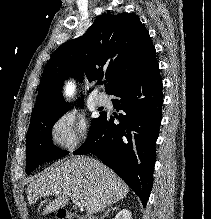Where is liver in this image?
I'll return each mask as SVG.
<instances>
[{"label": "liver", "mask_w": 211, "mask_h": 219, "mask_svg": "<svg viewBox=\"0 0 211 219\" xmlns=\"http://www.w3.org/2000/svg\"><path fill=\"white\" fill-rule=\"evenodd\" d=\"M128 185L100 161L88 157H74L49 168L30 183L28 202L34 205L46 196H54L42 214L65 207L69 196L78 195L88 214L104 210L127 196Z\"/></svg>", "instance_id": "liver-1"}]
</instances>
